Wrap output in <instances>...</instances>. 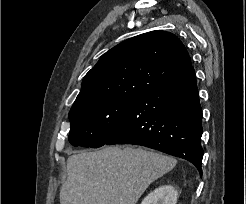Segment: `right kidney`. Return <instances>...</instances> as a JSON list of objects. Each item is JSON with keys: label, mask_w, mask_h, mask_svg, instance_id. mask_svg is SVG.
I'll list each match as a JSON object with an SVG mask.
<instances>
[{"label": "right kidney", "mask_w": 246, "mask_h": 204, "mask_svg": "<svg viewBox=\"0 0 246 204\" xmlns=\"http://www.w3.org/2000/svg\"><path fill=\"white\" fill-rule=\"evenodd\" d=\"M178 193L171 185H163L149 193L141 204H176Z\"/></svg>", "instance_id": "obj_1"}]
</instances>
